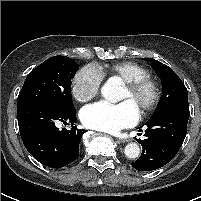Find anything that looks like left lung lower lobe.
Returning <instances> with one entry per match:
<instances>
[{
	"instance_id": "left-lung-lower-lobe-1",
	"label": "left lung lower lobe",
	"mask_w": 201,
	"mask_h": 201,
	"mask_svg": "<svg viewBox=\"0 0 201 201\" xmlns=\"http://www.w3.org/2000/svg\"><path fill=\"white\" fill-rule=\"evenodd\" d=\"M189 115V108L175 107L150 118L145 123L146 139L140 140L142 154L131 165L138 171H152L170 162L185 139Z\"/></svg>"
}]
</instances>
